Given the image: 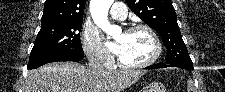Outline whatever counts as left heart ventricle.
<instances>
[{
	"instance_id": "b2bd125f",
	"label": "left heart ventricle",
	"mask_w": 225,
	"mask_h": 92,
	"mask_svg": "<svg viewBox=\"0 0 225 92\" xmlns=\"http://www.w3.org/2000/svg\"><path fill=\"white\" fill-rule=\"evenodd\" d=\"M116 41L120 45L119 57L127 64L142 63L154 53V42L143 30L121 33Z\"/></svg>"
}]
</instances>
